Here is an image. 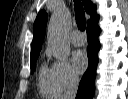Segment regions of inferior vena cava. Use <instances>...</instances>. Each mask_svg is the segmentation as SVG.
<instances>
[{
	"mask_svg": "<svg viewBox=\"0 0 128 99\" xmlns=\"http://www.w3.org/2000/svg\"><path fill=\"white\" fill-rule=\"evenodd\" d=\"M78 85L79 79L77 77L70 78L67 89L64 91L62 99H75Z\"/></svg>",
	"mask_w": 128,
	"mask_h": 99,
	"instance_id": "1",
	"label": "inferior vena cava"
}]
</instances>
